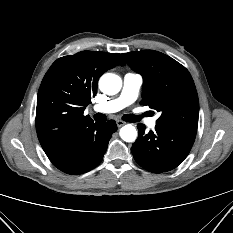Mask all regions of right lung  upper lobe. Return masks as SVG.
Wrapping results in <instances>:
<instances>
[{
	"label": "right lung upper lobe",
	"instance_id": "cb5924a9",
	"mask_svg": "<svg viewBox=\"0 0 233 233\" xmlns=\"http://www.w3.org/2000/svg\"><path fill=\"white\" fill-rule=\"evenodd\" d=\"M125 65L118 53L82 51L57 59L40 85L36 130L47 156L66 155L83 148L96 123L84 116L97 93V82L107 70Z\"/></svg>",
	"mask_w": 233,
	"mask_h": 233
}]
</instances>
